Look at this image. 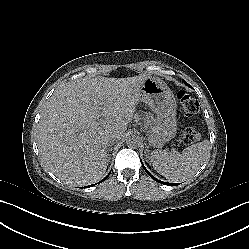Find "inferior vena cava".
Instances as JSON below:
<instances>
[{
    "label": "inferior vena cava",
    "instance_id": "602c4592",
    "mask_svg": "<svg viewBox=\"0 0 249 249\" xmlns=\"http://www.w3.org/2000/svg\"><path fill=\"white\" fill-rule=\"evenodd\" d=\"M119 139H120L119 135L112 134V135L108 136L106 140L108 143H112V142L118 141Z\"/></svg>",
    "mask_w": 249,
    "mask_h": 249
}]
</instances>
